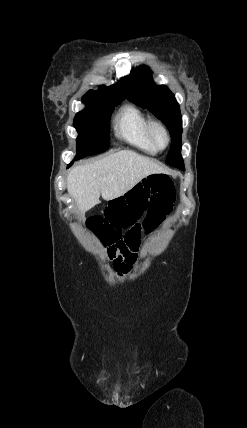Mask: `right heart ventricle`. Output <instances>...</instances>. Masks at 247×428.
<instances>
[{"label":"right heart ventricle","mask_w":247,"mask_h":428,"mask_svg":"<svg viewBox=\"0 0 247 428\" xmlns=\"http://www.w3.org/2000/svg\"><path fill=\"white\" fill-rule=\"evenodd\" d=\"M149 119L146 115L136 106H125L116 122L117 135L129 143L130 145L149 154L157 153V149L151 143L147 126Z\"/></svg>","instance_id":"1"}]
</instances>
